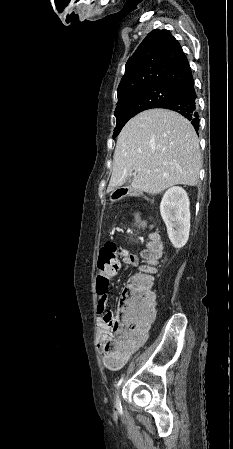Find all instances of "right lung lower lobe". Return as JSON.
I'll return each instance as SVG.
<instances>
[{
    "mask_svg": "<svg viewBox=\"0 0 233 449\" xmlns=\"http://www.w3.org/2000/svg\"><path fill=\"white\" fill-rule=\"evenodd\" d=\"M179 95L176 98L170 99L161 103L156 108H165L176 111L186 117L195 130L199 128V118L197 112V96L194 88V80H190L176 87Z\"/></svg>",
    "mask_w": 233,
    "mask_h": 449,
    "instance_id": "obj_1",
    "label": "right lung lower lobe"
}]
</instances>
